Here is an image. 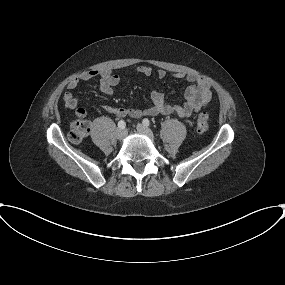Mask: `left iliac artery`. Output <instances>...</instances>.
I'll return each instance as SVG.
<instances>
[{
	"instance_id": "44dca946",
	"label": "left iliac artery",
	"mask_w": 285,
	"mask_h": 285,
	"mask_svg": "<svg viewBox=\"0 0 285 285\" xmlns=\"http://www.w3.org/2000/svg\"><path fill=\"white\" fill-rule=\"evenodd\" d=\"M142 122L145 126H150V121L147 118L143 119Z\"/></svg>"
}]
</instances>
